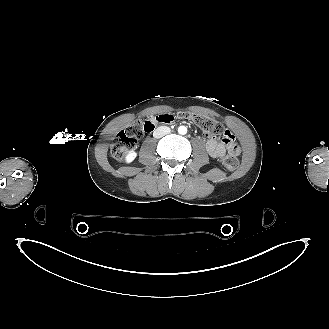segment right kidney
I'll return each instance as SVG.
<instances>
[{
	"label": "right kidney",
	"instance_id": "ca27d5eb",
	"mask_svg": "<svg viewBox=\"0 0 329 329\" xmlns=\"http://www.w3.org/2000/svg\"><path fill=\"white\" fill-rule=\"evenodd\" d=\"M136 156H137V154L134 151L129 152L125 157L126 163H131L135 159Z\"/></svg>",
	"mask_w": 329,
	"mask_h": 329
}]
</instances>
